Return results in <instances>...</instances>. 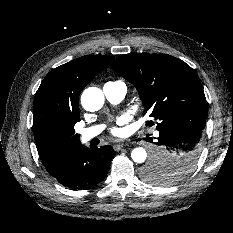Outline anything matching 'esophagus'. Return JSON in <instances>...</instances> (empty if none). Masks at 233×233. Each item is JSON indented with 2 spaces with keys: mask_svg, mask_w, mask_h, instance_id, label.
Returning <instances> with one entry per match:
<instances>
[{
  "mask_svg": "<svg viewBox=\"0 0 233 233\" xmlns=\"http://www.w3.org/2000/svg\"><path fill=\"white\" fill-rule=\"evenodd\" d=\"M124 145H125L124 142L118 141L114 144L113 148L115 151H119L123 148Z\"/></svg>",
  "mask_w": 233,
  "mask_h": 233,
  "instance_id": "1",
  "label": "esophagus"
}]
</instances>
